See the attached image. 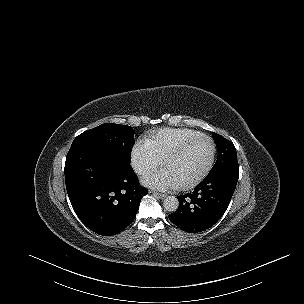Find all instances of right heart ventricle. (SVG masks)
Returning a JSON list of instances; mask_svg holds the SVG:
<instances>
[{
	"mask_svg": "<svg viewBox=\"0 0 304 304\" xmlns=\"http://www.w3.org/2000/svg\"><path fill=\"white\" fill-rule=\"evenodd\" d=\"M199 135L190 128H161L151 133L147 145L159 160H164L177 147Z\"/></svg>",
	"mask_w": 304,
	"mask_h": 304,
	"instance_id": "1",
	"label": "right heart ventricle"
}]
</instances>
